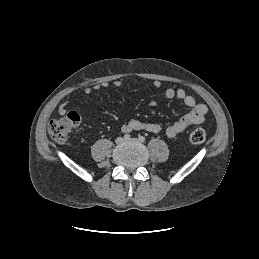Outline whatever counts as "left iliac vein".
Here are the masks:
<instances>
[{"label": "left iliac vein", "instance_id": "1", "mask_svg": "<svg viewBox=\"0 0 259 259\" xmlns=\"http://www.w3.org/2000/svg\"><path fill=\"white\" fill-rule=\"evenodd\" d=\"M127 141H130V142H138L139 140L137 138H131V139H128Z\"/></svg>", "mask_w": 259, "mask_h": 259}]
</instances>
